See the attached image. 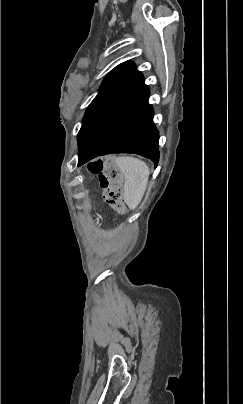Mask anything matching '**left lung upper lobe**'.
<instances>
[{"instance_id":"obj_1","label":"left lung upper lobe","mask_w":243,"mask_h":404,"mask_svg":"<svg viewBox=\"0 0 243 404\" xmlns=\"http://www.w3.org/2000/svg\"><path fill=\"white\" fill-rule=\"evenodd\" d=\"M143 84V75L132 62L115 67L103 80L99 93L85 112L77 137L79 148L98 118Z\"/></svg>"}]
</instances>
